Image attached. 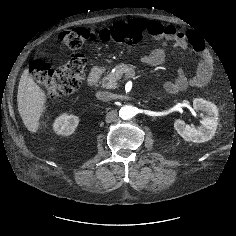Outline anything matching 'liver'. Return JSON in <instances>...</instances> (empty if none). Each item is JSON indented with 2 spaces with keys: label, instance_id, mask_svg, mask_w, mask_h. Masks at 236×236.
I'll return each mask as SVG.
<instances>
[{
  "label": "liver",
  "instance_id": "liver-1",
  "mask_svg": "<svg viewBox=\"0 0 236 236\" xmlns=\"http://www.w3.org/2000/svg\"><path fill=\"white\" fill-rule=\"evenodd\" d=\"M18 111L27 130L38 132L39 120L46 109L47 95L34 81L29 70H24L17 94Z\"/></svg>",
  "mask_w": 236,
  "mask_h": 236
}]
</instances>
